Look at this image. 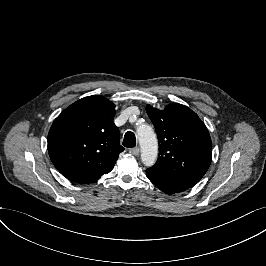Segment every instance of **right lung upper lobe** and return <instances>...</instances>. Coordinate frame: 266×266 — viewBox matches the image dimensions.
I'll return each mask as SVG.
<instances>
[{"label":"right lung upper lobe","instance_id":"cb5924a9","mask_svg":"<svg viewBox=\"0 0 266 266\" xmlns=\"http://www.w3.org/2000/svg\"><path fill=\"white\" fill-rule=\"evenodd\" d=\"M115 105L100 95L82 98L65 109L48 134V152L69 180L87 184L109 173L124 148L113 122Z\"/></svg>","mask_w":266,"mask_h":266}]
</instances>
